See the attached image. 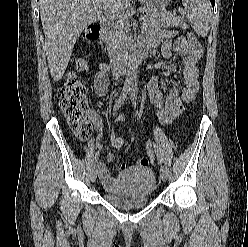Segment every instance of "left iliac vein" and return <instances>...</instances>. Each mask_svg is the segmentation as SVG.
I'll return each instance as SVG.
<instances>
[{
  "label": "left iliac vein",
  "mask_w": 248,
  "mask_h": 247,
  "mask_svg": "<svg viewBox=\"0 0 248 247\" xmlns=\"http://www.w3.org/2000/svg\"><path fill=\"white\" fill-rule=\"evenodd\" d=\"M160 178L163 181H166V179H167V169L164 166H161V168H160Z\"/></svg>",
  "instance_id": "left-iliac-vein-1"
}]
</instances>
